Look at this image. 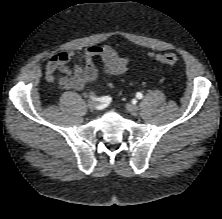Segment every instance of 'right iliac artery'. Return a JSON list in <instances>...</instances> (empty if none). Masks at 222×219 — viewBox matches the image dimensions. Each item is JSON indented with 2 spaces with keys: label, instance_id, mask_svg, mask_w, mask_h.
Instances as JSON below:
<instances>
[{
  "label": "right iliac artery",
  "instance_id": "right-iliac-artery-1",
  "mask_svg": "<svg viewBox=\"0 0 222 219\" xmlns=\"http://www.w3.org/2000/svg\"><path fill=\"white\" fill-rule=\"evenodd\" d=\"M90 98L96 99V100L101 101V102H106V103H109L111 101V98L108 97V96H104V97H100V98H96L94 96H90Z\"/></svg>",
  "mask_w": 222,
  "mask_h": 219
}]
</instances>
